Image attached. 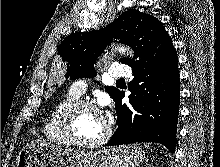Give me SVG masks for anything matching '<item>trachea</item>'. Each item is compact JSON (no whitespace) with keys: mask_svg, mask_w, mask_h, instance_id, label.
<instances>
[{"mask_svg":"<svg viewBox=\"0 0 220 167\" xmlns=\"http://www.w3.org/2000/svg\"><path fill=\"white\" fill-rule=\"evenodd\" d=\"M118 81H125L123 78L119 79Z\"/></svg>","mask_w":220,"mask_h":167,"instance_id":"1","label":"trachea"}]
</instances>
